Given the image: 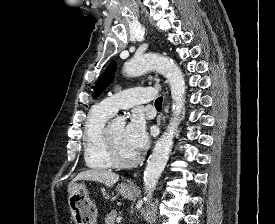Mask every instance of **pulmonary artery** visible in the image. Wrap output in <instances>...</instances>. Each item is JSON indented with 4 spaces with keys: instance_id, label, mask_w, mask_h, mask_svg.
I'll return each instance as SVG.
<instances>
[{
    "instance_id": "pulmonary-artery-1",
    "label": "pulmonary artery",
    "mask_w": 275,
    "mask_h": 224,
    "mask_svg": "<svg viewBox=\"0 0 275 224\" xmlns=\"http://www.w3.org/2000/svg\"><path fill=\"white\" fill-rule=\"evenodd\" d=\"M156 97L154 88L133 87L114 93L100 102V106L110 114L120 108H129L150 102Z\"/></svg>"
}]
</instances>
